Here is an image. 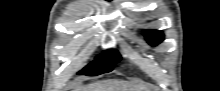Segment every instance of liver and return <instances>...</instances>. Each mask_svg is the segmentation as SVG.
<instances>
[{
	"instance_id": "obj_1",
	"label": "liver",
	"mask_w": 220,
	"mask_h": 91,
	"mask_svg": "<svg viewBox=\"0 0 220 91\" xmlns=\"http://www.w3.org/2000/svg\"><path fill=\"white\" fill-rule=\"evenodd\" d=\"M80 91H149L143 86L122 80H105L89 84Z\"/></svg>"
}]
</instances>
